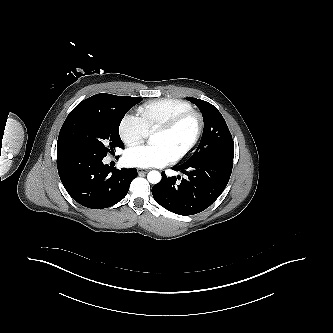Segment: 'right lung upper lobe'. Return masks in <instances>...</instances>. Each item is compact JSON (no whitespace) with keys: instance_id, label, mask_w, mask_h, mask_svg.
Listing matches in <instances>:
<instances>
[{"instance_id":"right-lung-upper-lobe-1","label":"right lung upper lobe","mask_w":333,"mask_h":333,"mask_svg":"<svg viewBox=\"0 0 333 333\" xmlns=\"http://www.w3.org/2000/svg\"><path fill=\"white\" fill-rule=\"evenodd\" d=\"M108 94L106 93H100L97 95H94L84 101H82L81 103L83 104H91V105H95V106H104L105 105V100Z\"/></svg>"}]
</instances>
